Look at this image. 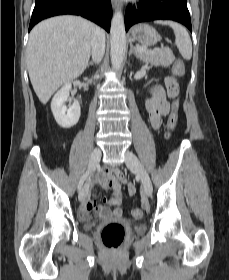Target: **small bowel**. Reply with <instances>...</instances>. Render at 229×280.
<instances>
[{
  "label": "small bowel",
  "instance_id": "obj_1",
  "mask_svg": "<svg viewBox=\"0 0 229 280\" xmlns=\"http://www.w3.org/2000/svg\"><path fill=\"white\" fill-rule=\"evenodd\" d=\"M178 62L175 63V65ZM174 65V67H175ZM183 66V64H182ZM173 67V71H174ZM183 74V73H182ZM179 74V75H182ZM169 94V93H168ZM170 96V95H169ZM145 108L148 113L149 123L153 129L160 128L162 124V118L167 116L170 111V104L167 99L165 90L157 84L151 86V95L145 100ZM111 173L102 172L100 177L105 178ZM112 196L106 199V203L113 208H98L96 202L90 197L91 191L89 185L84 193L82 203L78 208L77 215L80 219L87 220L90 218L91 213L97 209L99 216L104 218H121L122 209L121 205V184L114 183L111 185ZM135 191L133 185H129V193L133 194Z\"/></svg>",
  "mask_w": 229,
  "mask_h": 280
}]
</instances>
